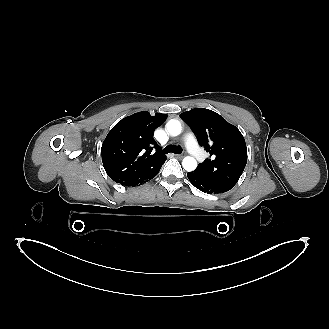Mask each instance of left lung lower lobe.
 <instances>
[{"label": "left lung lower lobe", "instance_id": "1", "mask_svg": "<svg viewBox=\"0 0 329 329\" xmlns=\"http://www.w3.org/2000/svg\"><path fill=\"white\" fill-rule=\"evenodd\" d=\"M187 176L192 185H194L196 188H198L204 193L218 194L229 191L226 188L205 179L203 176L195 173L194 171L188 172Z\"/></svg>", "mask_w": 329, "mask_h": 329}]
</instances>
